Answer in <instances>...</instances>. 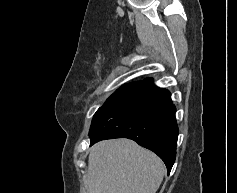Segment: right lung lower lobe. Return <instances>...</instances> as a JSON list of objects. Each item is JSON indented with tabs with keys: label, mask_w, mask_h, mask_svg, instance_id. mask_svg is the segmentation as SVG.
<instances>
[{
	"label": "right lung lower lobe",
	"mask_w": 237,
	"mask_h": 193,
	"mask_svg": "<svg viewBox=\"0 0 237 193\" xmlns=\"http://www.w3.org/2000/svg\"><path fill=\"white\" fill-rule=\"evenodd\" d=\"M170 96L168 90L156 87L153 79H144L123 101L94 115L91 145L104 139H132L156 153L169 174L175 162L179 133L176 108Z\"/></svg>",
	"instance_id": "obj_1"
}]
</instances>
